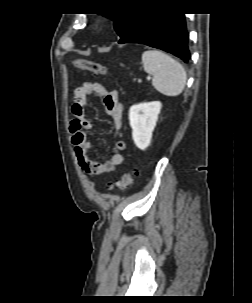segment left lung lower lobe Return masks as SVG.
<instances>
[{
    "label": "left lung lower lobe",
    "instance_id": "left-lung-lower-lobe-1",
    "mask_svg": "<svg viewBox=\"0 0 252 303\" xmlns=\"http://www.w3.org/2000/svg\"><path fill=\"white\" fill-rule=\"evenodd\" d=\"M140 43L169 52L188 63V35L181 13L146 12L119 43Z\"/></svg>",
    "mask_w": 252,
    "mask_h": 303
}]
</instances>
